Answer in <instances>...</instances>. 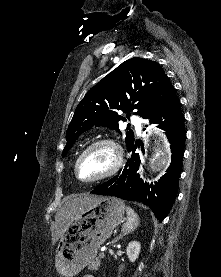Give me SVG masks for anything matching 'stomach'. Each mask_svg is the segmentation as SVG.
<instances>
[{"mask_svg":"<svg viewBox=\"0 0 221 277\" xmlns=\"http://www.w3.org/2000/svg\"><path fill=\"white\" fill-rule=\"evenodd\" d=\"M123 216L124 205L112 197H100L84 207L60 237L55 256L57 272L74 277L90 265Z\"/></svg>","mask_w":221,"mask_h":277,"instance_id":"stomach-1","label":"stomach"}]
</instances>
